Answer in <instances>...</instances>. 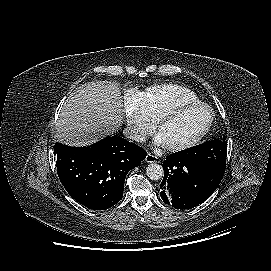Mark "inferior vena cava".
Returning <instances> with one entry per match:
<instances>
[{
    "label": "inferior vena cava",
    "instance_id": "obj_1",
    "mask_svg": "<svg viewBox=\"0 0 271 271\" xmlns=\"http://www.w3.org/2000/svg\"><path fill=\"white\" fill-rule=\"evenodd\" d=\"M123 134L126 138L137 141V142H144L145 135L139 131H136L132 128H125Z\"/></svg>",
    "mask_w": 271,
    "mask_h": 271
}]
</instances>
